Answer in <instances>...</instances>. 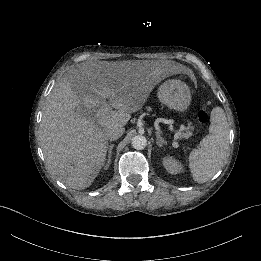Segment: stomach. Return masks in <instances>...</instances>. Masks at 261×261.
<instances>
[{
	"mask_svg": "<svg viewBox=\"0 0 261 261\" xmlns=\"http://www.w3.org/2000/svg\"><path fill=\"white\" fill-rule=\"evenodd\" d=\"M160 102L171 109L184 112L191 102L188 85L181 80H167L158 89Z\"/></svg>",
	"mask_w": 261,
	"mask_h": 261,
	"instance_id": "1",
	"label": "stomach"
}]
</instances>
